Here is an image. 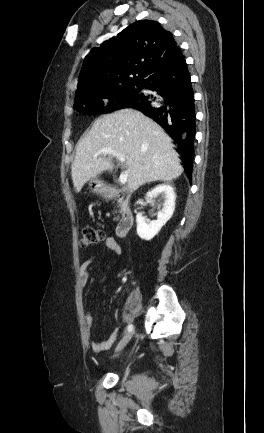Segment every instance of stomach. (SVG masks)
Returning <instances> with one entry per match:
<instances>
[{
  "label": "stomach",
  "mask_w": 264,
  "mask_h": 433,
  "mask_svg": "<svg viewBox=\"0 0 264 433\" xmlns=\"http://www.w3.org/2000/svg\"><path fill=\"white\" fill-rule=\"evenodd\" d=\"M89 188L92 193L97 195L105 193L107 189L106 185L98 179H92L89 182Z\"/></svg>",
  "instance_id": "stomach-1"
}]
</instances>
